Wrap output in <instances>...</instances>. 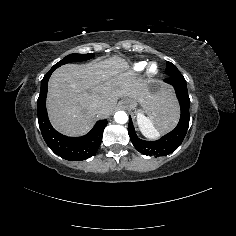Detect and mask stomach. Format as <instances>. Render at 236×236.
<instances>
[{"mask_svg":"<svg viewBox=\"0 0 236 236\" xmlns=\"http://www.w3.org/2000/svg\"><path fill=\"white\" fill-rule=\"evenodd\" d=\"M144 89L153 98L157 100H164L169 95L173 96L172 88L168 84L164 83L161 79L152 78L146 79L144 81ZM139 102L135 99L125 97L120 106L123 108H127L129 110H136V115H143L145 110L138 108Z\"/></svg>","mask_w":236,"mask_h":236,"instance_id":"0dacf381","label":"stomach"}]
</instances>
